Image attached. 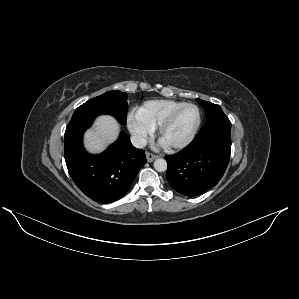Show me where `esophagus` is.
Listing matches in <instances>:
<instances>
[{
	"label": "esophagus",
	"mask_w": 299,
	"mask_h": 299,
	"mask_svg": "<svg viewBox=\"0 0 299 299\" xmlns=\"http://www.w3.org/2000/svg\"><path fill=\"white\" fill-rule=\"evenodd\" d=\"M156 158H158L157 155L153 154V153H150V152H147L146 153V159L148 162H152L153 160H155Z\"/></svg>",
	"instance_id": "34e87169"
}]
</instances>
